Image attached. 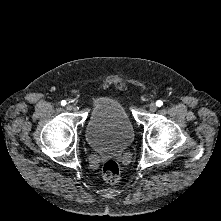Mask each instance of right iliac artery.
Returning a JSON list of instances; mask_svg holds the SVG:
<instances>
[{
	"instance_id": "1",
	"label": "right iliac artery",
	"mask_w": 221,
	"mask_h": 221,
	"mask_svg": "<svg viewBox=\"0 0 221 221\" xmlns=\"http://www.w3.org/2000/svg\"><path fill=\"white\" fill-rule=\"evenodd\" d=\"M61 105H62V106H65V105H66V101H65V100H62V101H61Z\"/></svg>"
}]
</instances>
